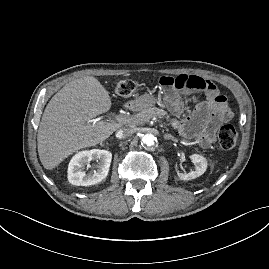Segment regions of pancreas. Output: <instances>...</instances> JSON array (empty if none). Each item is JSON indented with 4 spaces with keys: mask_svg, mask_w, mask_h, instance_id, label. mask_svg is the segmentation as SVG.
<instances>
[{
    "mask_svg": "<svg viewBox=\"0 0 269 269\" xmlns=\"http://www.w3.org/2000/svg\"><path fill=\"white\" fill-rule=\"evenodd\" d=\"M132 117L135 118V120L133 123H130L131 125L143 124L152 118H165L167 121L170 120V117L166 111L156 107L142 109L139 113Z\"/></svg>",
    "mask_w": 269,
    "mask_h": 269,
    "instance_id": "pancreas-1",
    "label": "pancreas"
}]
</instances>
